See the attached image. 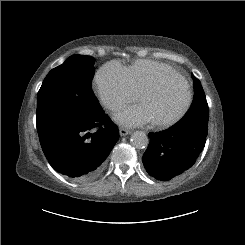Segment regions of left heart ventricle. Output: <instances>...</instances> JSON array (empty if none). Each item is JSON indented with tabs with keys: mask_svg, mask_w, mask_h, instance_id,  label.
<instances>
[{
	"mask_svg": "<svg viewBox=\"0 0 245 245\" xmlns=\"http://www.w3.org/2000/svg\"><path fill=\"white\" fill-rule=\"evenodd\" d=\"M188 92L185 83L177 76L165 77L158 91L145 95L140 103L152 121H163L178 114L185 106Z\"/></svg>",
	"mask_w": 245,
	"mask_h": 245,
	"instance_id": "left-heart-ventricle-1",
	"label": "left heart ventricle"
}]
</instances>
